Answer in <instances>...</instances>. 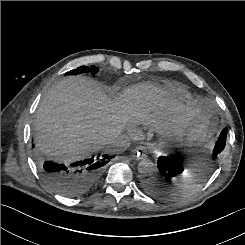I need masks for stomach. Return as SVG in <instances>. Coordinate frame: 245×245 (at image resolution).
Instances as JSON below:
<instances>
[{"label":"stomach","mask_w":245,"mask_h":245,"mask_svg":"<svg viewBox=\"0 0 245 245\" xmlns=\"http://www.w3.org/2000/svg\"><path fill=\"white\" fill-rule=\"evenodd\" d=\"M217 130V117L212 104L203 102L198 112L192 115L181 127L178 136L189 144L203 146Z\"/></svg>","instance_id":"obj_1"}]
</instances>
